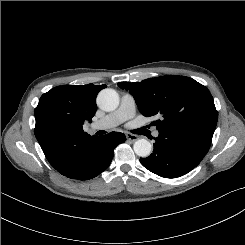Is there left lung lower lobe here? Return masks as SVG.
Masks as SVG:
<instances>
[{"instance_id": "left-lung-lower-lobe-1", "label": "left lung lower lobe", "mask_w": 245, "mask_h": 245, "mask_svg": "<svg viewBox=\"0 0 245 245\" xmlns=\"http://www.w3.org/2000/svg\"><path fill=\"white\" fill-rule=\"evenodd\" d=\"M154 139L153 153L140 158L141 164L161 177L176 178L201 162L210 148L212 135L186 128L162 129Z\"/></svg>"}]
</instances>
